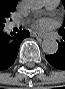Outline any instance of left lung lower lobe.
<instances>
[{
	"instance_id": "left-lung-lower-lobe-1",
	"label": "left lung lower lobe",
	"mask_w": 65,
	"mask_h": 89,
	"mask_svg": "<svg viewBox=\"0 0 65 89\" xmlns=\"http://www.w3.org/2000/svg\"><path fill=\"white\" fill-rule=\"evenodd\" d=\"M62 36L64 42H58V51L55 54L45 56V58L53 67L65 70V35Z\"/></svg>"
}]
</instances>
